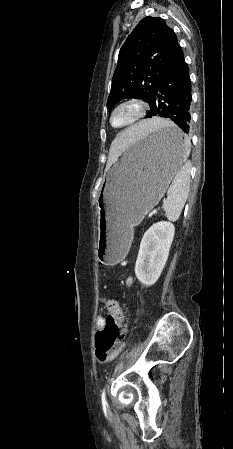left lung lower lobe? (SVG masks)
<instances>
[{
    "mask_svg": "<svg viewBox=\"0 0 233 449\" xmlns=\"http://www.w3.org/2000/svg\"><path fill=\"white\" fill-rule=\"evenodd\" d=\"M191 80L183 53L164 73L153 93L151 110L145 118L152 116L171 119L182 130L181 134L164 132L158 139L170 148H181L188 143L190 131Z\"/></svg>",
    "mask_w": 233,
    "mask_h": 449,
    "instance_id": "obj_1",
    "label": "left lung lower lobe"
}]
</instances>
